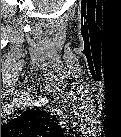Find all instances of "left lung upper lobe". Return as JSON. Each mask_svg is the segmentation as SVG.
<instances>
[{
	"mask_svg": "<svg viewBox=\"0 0 121 137\" xmlns=\"http://www.w3.org/2000/svg\"><path fill=\"white\" fill-rule=\"evenodd\" d=\"M58 130L55 119L45 111L27 110L21 117L1 126V135L7 134H49Z\"/></svg>",
	"mask_w": 121,
	"mask_h": 137,
	"instance_id": "left-lung-upper-lobe-1",
	"label": "left lung upper lobe"
}]
</instances>
